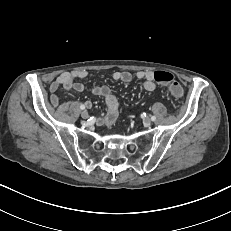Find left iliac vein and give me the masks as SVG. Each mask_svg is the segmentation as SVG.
<instances>
[{"label": "left iliac vein", "instance_id": "obj_1", "mask_svg": "<svg viewBox=\"0 0 231 231\" xmlns=\"http://www.w3.org/2000/svg\"><path fill=\"white\" fill-rule=\"evenodd\" d=\"M143 124L144 126L149 127L151 125V120L149 118H145L143 120Z\"/></svg>", "mask_w": 231, "mask_h": 231}]
</instances>
